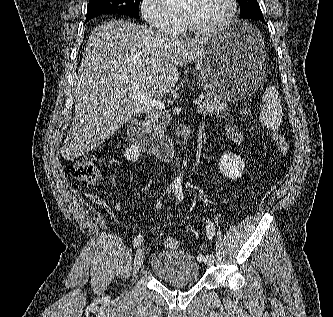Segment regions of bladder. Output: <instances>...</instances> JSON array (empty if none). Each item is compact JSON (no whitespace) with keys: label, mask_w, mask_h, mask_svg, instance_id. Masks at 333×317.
<instances>
[{"label":"bladder","mask_w":333,"mask_h":317,"mask_svg":"<svg viewBox=\"0 0 333 317\" xmlns=\"http://www.w3.org/2000/svg\"><path fill=\"white\" fill-rule=\"evenodd\" d=\"M149 268L156 278L172 285L193 284L200 278L199 262L186 250L156 253L150 259Z\"/></svg>","instance_id":"obj_1"}]
</instances>
